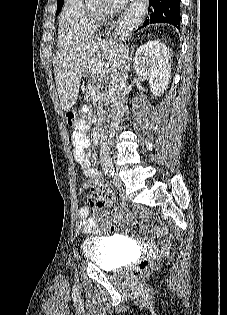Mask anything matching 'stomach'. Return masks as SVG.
Returning a JSON list of instances; mask_svg holds the SVG:
<instances>
[{"mask_svg":"<svg viewBox=\"0 0 227 315\" xmlns=\"http://www.w3.org/2000/svg\"><path fill=\"white\" fill-rule=\"evenodd\" d=\"M97 73L96 68H86L85 71H83L82 76L84 80H79L78 85L81 89V91H89L90 86L89 82H94L95 75ZM74 116H76L75 112H71Z\"/></svg>","mask_w":227,"mask_h":315,"instance_id":"0dacf381","label":"stomach"}]
</instances>
